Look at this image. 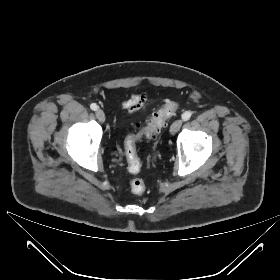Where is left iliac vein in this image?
I'll use <instances>...</instances> for the list:
<instances>
[{"mask_svg":"<svg viewBox=\"0 0 280 280\" xmlns=\"http://www.w3.org/2000/svg\"><path fill=\"white\" fill-rule=\"evenodd\" d=\"M182 123H183V121L181 119L174 121L172 123V125L170 126V133L175 134L182 126Z\"/></svg>","mask_w":280,"mask_h":280,"instance_id":"1","label":"left iliac vein"}]
</instances>
